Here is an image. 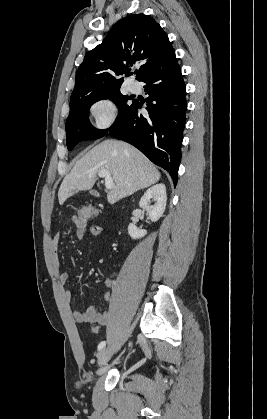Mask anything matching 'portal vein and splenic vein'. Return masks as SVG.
Listing matches in <instances>:
<instances>
[{
  "instance_id": "18ae733b",
  "label": "portal vein and splenic vein",
  "mask_w": 267,
  "mask_h": 419,
  "mask_svg": "<svg viewBox=\"0 0 267 419\" xmlns=\"http://www.w3.org/2000/svg\"><path fill=\"white\" fill-rule=\"evenodd\" d=\"M98 176L105 179V187L106 189L114 188V182L111 177V174L107 170H100Z\"/></svg>"
}]
</instances>
